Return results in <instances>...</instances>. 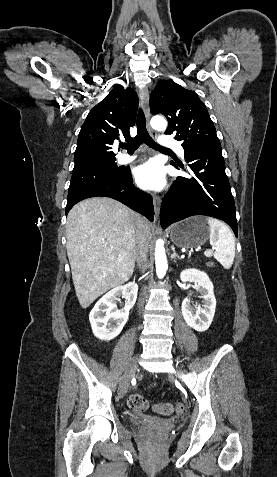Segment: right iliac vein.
<instances>
[{"label":"right iliac vein","mask_w":277,"mask_h":477,"mask_svg":"<svg viewBox=\"0 0 277 477\" xmlns=\"http://www.w3.org/2000/svg\"><path fill=\"white\" fill-rule=\"evenodd\" d=\"M139 359H140L139 356H134L126 367V370L121 379L119 390H118V394L122 397L126 394L128 390L130 381L132 377L134 376L135 371L137 369Z\"/></svg>","instance_id":"obj_1"}]
</instances>
